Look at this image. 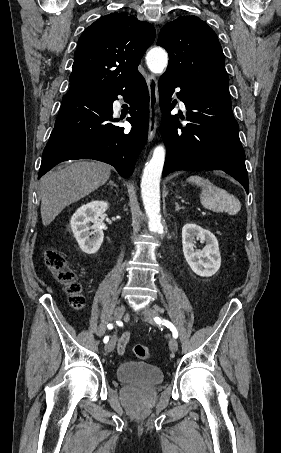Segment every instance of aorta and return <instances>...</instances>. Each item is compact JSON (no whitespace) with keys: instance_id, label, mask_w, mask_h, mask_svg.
<instances>
[{"instance_id":"aorta-1","label":"aorta","mask_w":281,"mask_h":453,"mask_svg":"<svg viewBox=\"0 0 281 453\" xmlns=\"http://www.w3.org/2000/svg\"><path fill=\"white\" fill-rule=\"evenodd\" d=\"M146 62L152 73L162 74L168 64V55L162 48L155 47L148 52ZM165 154L163 145L155 147L152 158L144 168L141 181L142 200L149 220V230L159 234L164 232L160 215V178Z\"/></svg>"}]
</instances>
